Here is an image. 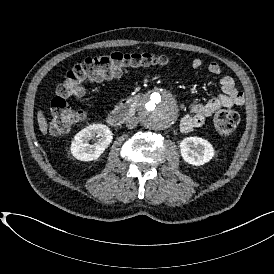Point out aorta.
Returning a JSON list of instances; mask_svg holds the SVG:
<instances>
[{
    "instance_id": "aorta-1",
    "label": "aorta",
    "mask_w": 274,
    "mask_h": 274,
    "mask_svg": "<svg viewBox=\"0 0 274 274\" xmlns=\"http://www.w3.org/2000/svg\"><path fill=\"white\" fill-rule=\"evenodd\" d=\"M178 116L173 95L164 90L153 92L139 108V118L147 127L162 130L170 126Z\"/></svg>"
}]
</instances>
